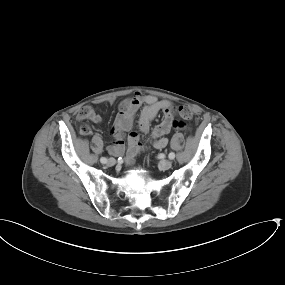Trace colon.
<instances>
[{"label": "colon", "mask_w": 285, "mask_h": 285, "mask_svg": "<svg viewBox=\"0 0 285 285\" xmlns=\"http://www.w3.org/2000/svg\"><path fill=\"white\" fill-rule=\"evenodd\" d=\"M174 112L177 116L182 119L188 120L192 117V109L187 105H181L174 109Z\"/></svg>", "instance_id": "1"}]
</instances>
